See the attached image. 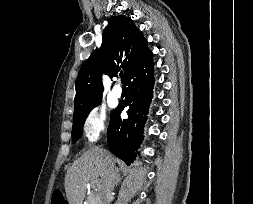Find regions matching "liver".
<instances>
[{
    "label": "liver",
    "mask_w": 253,
    "mask_h": 204,
    "mask_svg": "<svg viewBox=\"0 0 253 204\" xmlns=\"http://www.w3.org/2000/svg\"><path fill=\"white\" fill-rule=\"evenodd\" d=\"M106 157L114 163L111 154L93 147L87 150L80 158L75 160L65 176V191L69 204H83L86 186L89 181L103 182L106 174Z\"/></svg>",
    "instance_id": "1"
}]
</instances>
